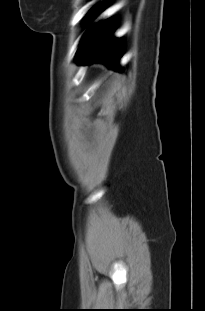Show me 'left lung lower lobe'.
Segmentation results:
<instances>
[{
  "mask_svg": "<svg viewBox=\"0 0 205 311\" xmlns=\"http://www.w3.org/2000/svg\"><path fill=\"white\" fill-rule=\"evenodd\" d=\"M116 29L113 21H107L79 46L77 64L85 65L94 62H103L109 68L120 71L118 62L124 53V42L115 39L112 35Z\"/></svg>",
  "mask_w": 205,
  "mask_h": 311,
  "instance_id": "left-lung-lower-lobe-1",
  "label": "left lung lower lobe"
}]
</instances>
